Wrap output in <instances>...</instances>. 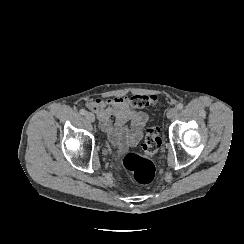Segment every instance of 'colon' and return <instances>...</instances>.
<instances>
[{
	"mask_svg": "<svg viewBox=\"0 0 244 244\" xmlns=\"http://www.w3.org/2000/svg\"><path fill=\"white\" fill-rule=\"evenodd\" d=\"M158 103L159 96L156 94L134 95L130 99V104L134 109L155 107ZM160 131L158 125H150L145 130L143 150L147 154L146 156L129 151L123 159L124 168L134 171L136 180L141 184H149L154 179L155 166L149 157L157 152L162 145Z\"/></svg>",
	"mask_w": 244,
	"mask_h": 244,
	"instance_id": "5ec220e1",
	"label": "colon"
}]
</instances>
